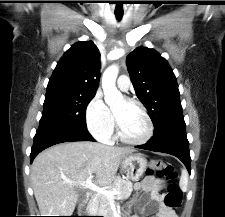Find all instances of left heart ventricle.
I'll return each mask as SVG.
<instances>
[{"label": "left heart ventricle", "instance_id": "b2bd125f", "mask_svg": "<svg viewBox=\"0 0 225 217\" xmlns=\"http://www.w3.org/2000/svg\"><path fill=\"white\" fill-rule=\"evenodd\" d=\"M114 114L117 117L124 136L129 139H140L146 133V120L141 110L125 99H120L113 106Z\"/></svg>", "mask_w": 225, "mask_h": 217}]
</instances>
